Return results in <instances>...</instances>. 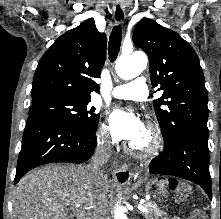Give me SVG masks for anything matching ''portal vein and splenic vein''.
I'll return each instance as SVG.
<instances>
[{
  "mask_svg": "<svg viewBox=\"0 0 221 219\" xmlns=\"http://www.w3.org/2000/svg\"><path fill=\"white\" fill-rule=\"evenodd\" d=\"M76 206H80V204L78 203ZM138 209H139L141 212H147V211H148L147 208H145V207L142 206V203L138 206Z\"/></svg>",
  "mask_w": 221,
  "mask_h": 219,
  "instance_id": "obj_1",
  "label": "portal vein and splenic vein"
}]
</instances>
